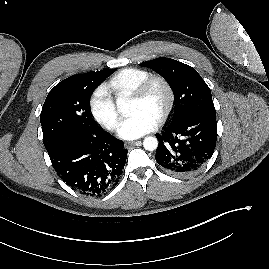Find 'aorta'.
<instances>
[{"label":"aorta","instance_id":"obj_1","mask_svg":"<svg viewBox=\"0 0 269 269\" xmlns=\"http://www.w3.org/2000/svg\"><path fill=\"white\" fill-rule=\"evenodd\" d=\"M116 104L121 114L127 115L129 113V103L126 99L118 98ZM143 146L146 150L153 151L158 147V140L153 136L146 137L143 141Z\"/></svg>","mask_w":269,"mask_h":269}]
</instances>
